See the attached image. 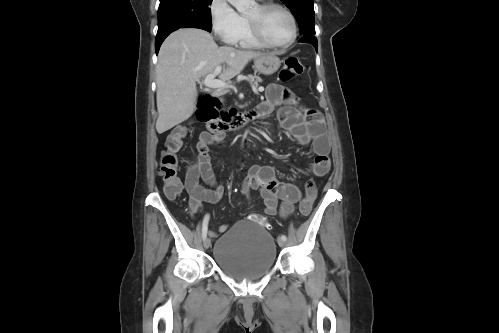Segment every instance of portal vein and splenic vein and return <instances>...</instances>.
Here are the masks:
<instances>
[{
  "mask_svg": "<svg viewBox=\"0 0 499 333\" xmlns=\"http://www.w3.org/2000/svg\"><path fill=\"white\" fill-rule=\"evenodd\" d=\"M222 70V67L221 66H217L215 68V70L213 71V73L211 74H208L205 79L203 80V85L208 87V88H227L229 87V84L224 81V80H220V79H215V77L221 72ZM254 91L256 92H263L264 91V88L263 87H260L258 90L255 88V87H252Z\"/></svg>",
  "mask_w": 499,
  "mask_h": 333,
  "instance_id": "portal-vein-and-splenic-vein-1",
  "label": "portal vein and splenic vein"
}]
</instances>
